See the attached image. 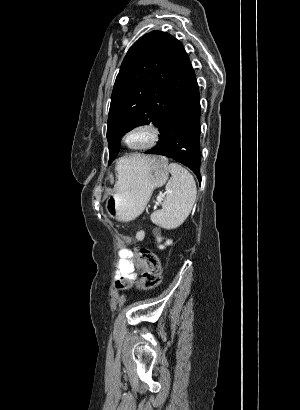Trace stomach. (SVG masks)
Returning <instances> with one entry per match:
<instances>
[{
    "label": "stomach",
    "mask_w": 300,
    "mask_h": 410,
    "mask_svg": "<svg viewBox=\"0 0 300 410\" xmlns=\"http://www.w3.org/2000/svg\"><path fill=\"white\" fill-rule=\"evenodd\" d=\"M168 175V160L163 156H148L137 164H128L106 198L107 214L119 221L134 220L144 211L154 189L166 183Z\"/></svg>",
    "instance_id": "stomach-1"
}]
</instances>
